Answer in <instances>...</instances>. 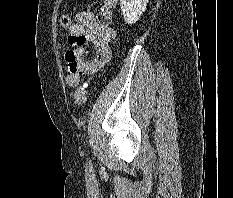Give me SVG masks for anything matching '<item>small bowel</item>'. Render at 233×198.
I'll use <instances>...</instances> for the list:
<instances>
[{
  "instance_id": "small-bowel-1",
  "label": "small bowel",
  "mask_w": 233,
  "mask_h": 198,
  "mask_svg": "<svg viewBox=\"0 0 233 198\" xmlns=\"http://www.w3.org/2000/svg\"><path fill=\"white\" fill-rule=\"evenodd\" d=\"M117 3L118 0H103L99 18L87 11L75 16V22L68 29L71 49L65 55L68 63L67 55L73 54L77 66L76 71H68L66 75L65 80L69 87L78 85L81 76L97 72L109 60L110 43L115 36L113 11ZM86 43H91L94 48V54L88 58L85 57Z\"/></svg>"
}]
</instances>
